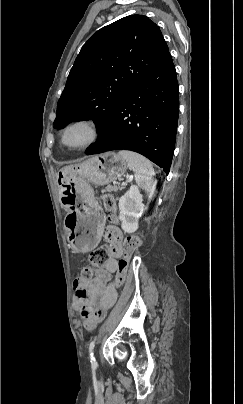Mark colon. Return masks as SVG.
Returning a JSON list of instances; mask_svg holds the SVG:
<instances>
[{"label":"colon","mask_w":243,"mask_h":404,"mask_svg":"<svg viewBox=\"0 0 243 404\" xmlns=\"http://www.w3.org/2000/svg\"><path fill=\"white\" fill-rule=\"evenodd\" d=\"M103 202L106 209L112 212L110 220L115 221L116 217L113 213L116 207L115 199L112 195L106 194L103 196ZM141 245L142 237L139 234L130 235L123 240L121 258L118 262V272L116 275V284L118 286L123 285L126 281L129 262ZM108 260L109 250L107 246H101L93 251L89 256V264L82 270L80 279L83 281L92 279L96 274L97 268ZM104 318L105 315H99L98 321L101 322Z\"/></svg>","instance_id":"obj_1"}]
</instances>
